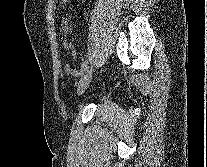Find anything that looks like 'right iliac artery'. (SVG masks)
I'll list each match as a JSON object with an SVG mask.
<instances>
[{
	"label": "right iliac artery",
	"instance_id": "82829eb1",
	"mask_svg": "<svg viewBox=\"0 0 207 167\" xmlns=\"http://www.w3.org/2000/svg\"><path fill=\"white\" fill-rule=\"evenodd\" d=\"M87 64H88V60L84 61V63L81 66V70H80V75L82 76L85 71L87 70Z\"/></svg>",
	"mask_w": 207,
	"mask_h": 167
}]
</instances>
